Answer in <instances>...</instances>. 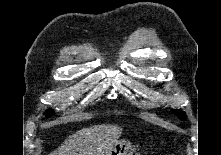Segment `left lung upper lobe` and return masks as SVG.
Masks as SVG:
<instances>
[{
	"mask_svg": "<svg viewBox=\"0 0 221 155\" xmlns=\"http://www.w3.org/2000/svg\"><path fill=\"white\" fill-rule=\"evenodd\" d=\"M174 113L179 116L180 119H185L186 115L184 112L180 111V110H174Z\"/></svg>",
	"mask_w": 221,
	"mask_h": 155,
	"instance_id": "1",
	"label": "left lung upper lobe"
}]
</instances>
